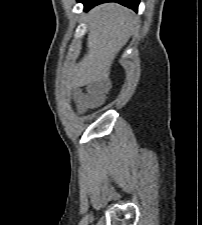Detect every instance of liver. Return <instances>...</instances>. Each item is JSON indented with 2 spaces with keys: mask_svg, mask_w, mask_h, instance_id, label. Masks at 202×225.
<instances>
[{
  "mask_svg": "<svg viewBox=\"0 0 202 225\" xmlns=\"http://www.w3.org/2000/svg\"><path fill=\"white\" fill-rule=\"evenodd\" d=\"M86 21L88 53L67 72L68 82L80 86L108 79L111 65L127 43L136 18L130 9L108 3L90 10Z\"/></svg>",
  "mask_w": 202,
  "mask_h": 225,
  "instance_id": "obj_1",
  "label": "liver"
}]
</instances>
